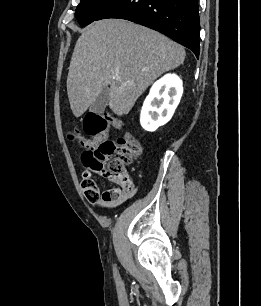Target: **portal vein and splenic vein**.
Wrapping results in <instances>:
<instances>
[{"label":"portal vein and splenic vein","instance_id":"portal-vein-and-splenic-vein-1","mask_svg":"<svg viewBox=\"0 0 261 306\" xmlns=\"http://www.w3.org/2000/svg\"><path fill=\"white\" fill-rule=\"evenodd\" d=\"M113 78H114L115 80H120V77H119L118 75H115Z\"/></svg>","mask_w":261,"mask_h":306}]
</instances>
